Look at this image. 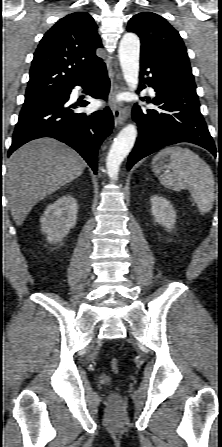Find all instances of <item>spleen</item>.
<instances>
[{"label": "spleen", "instance_id": "obj_1", "mask_svg": "<svg viewBox=\"0 0 222 447\" xmlns=\"http://www.w3.org/2000/svg\"><path fill=\"white\" fill-rule=\"evenodd\" d=\"M169 156V159H165ZM165 159L168 164L160 161ZM153 171L163 186L174 191L187 189L198 209L207 213L214 202V176L205 161L189 149L173 146L162 149L153 158ZM163 165V167H162ZM162 168L166 171L160 174Z\"/></svg>", "mask_w": 222, "mask_h": 447}]
</instances>
